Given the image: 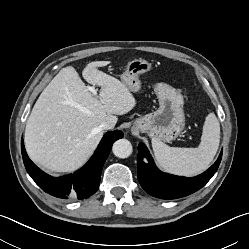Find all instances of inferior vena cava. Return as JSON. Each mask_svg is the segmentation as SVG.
<instances>
[{
  "mask_svg": "<svg viewBox=\"0 0 249 249\" xmlns=\"http://www.w3.org/2000/svg\"><path fill=\"white\" fill-rule=\"evenodd\" d=\"M100 128H101L102 130H110V129L113 128V125H111V124L108 123V122H102V123L100 124Z\"/></svg>",
  "mask_w": 249,
  "mask_h": 249,
  "instance_id": "inferior-vena-cava-1",
  "label": "inferior vena cava"
}]
</instances>
